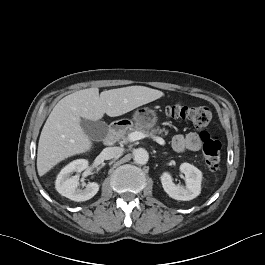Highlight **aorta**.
Wrapping results in <instances>:
<instances>
[{"instance_id":"aorta-1","label":"aorta","mask_w":265,"mask_h":265,"mask_svg":"<svg viewBox=\"0 0 265 265\" xmlns=\"http://www.w3.org/2000/svg\"><path fill=\"white\" fill-rule=\"evenodd\" d=\"M133 156H134V162L136 164L145 165L149 160V154L143 148L136 149L133 152Z\"/></svg>"}]
</instances>
